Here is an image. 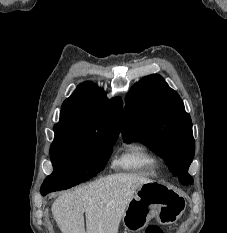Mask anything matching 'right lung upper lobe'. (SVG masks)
Masks as SVG:
<instances>
[{
    "instance_id": "obj_1",
    "label": "right lung upper lobe",
    "mask_w": 227,
    "mask_h": 233,
    "mask_svg": "<svg viewBox=\"0 0 227 233\" xmlns=\"http://www.w3.org/2000/svg\"><path fill=\"white\" fill-rule=\"evenodd\" d=\"M122 99H108L93 82L86 81L64 101L55 135L101 138L119 134L122 123Z\"/></svg>"
}]
</instances>
